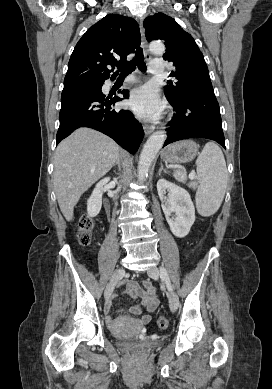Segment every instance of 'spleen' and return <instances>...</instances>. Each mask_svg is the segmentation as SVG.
I'll use <instances>...</instances> for the list:
<instances>
[{
	"instance_id": "obj_1",
	"label": "spleen",
	"mask_w": 272,
	"mask_h": 389,
	"mask_svg": "<svg viewBox=\"0 0 272 389\" xmlns=\"http://www.w3.org/2000/svg\"><path fill=\"white\" fill-rule=\"evenodd\" d=\"M197 182L189 183V187H198L196 192V208L201 216L213 215L221 206L225 196L228 172L221 149L213 142H208L196 160ZM177 181L185 183L186 174L177 170L174 173Z\"/></svg>"
}]
</instances>
